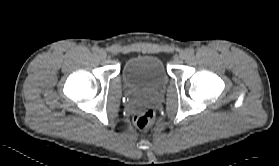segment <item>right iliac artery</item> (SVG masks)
I'll list each match as a JSON object with an SVG mask.
<instances>
[{"label":"right iliac artery","mask_w":279,"mask_h":166,"mask_svg":"<svg viewBox=\"0 0 279 166\" xmlns=\"http://www.w3.org/2000/svg\"><path fill=\"white\" fill-rule=\"evenodd\" d=\"M92 51H93L94 53H97V52L99 51V48L96 47V46H94V47L92 48Z\"/></svg>","instance_id":"82829eb1"}]
</instances>
